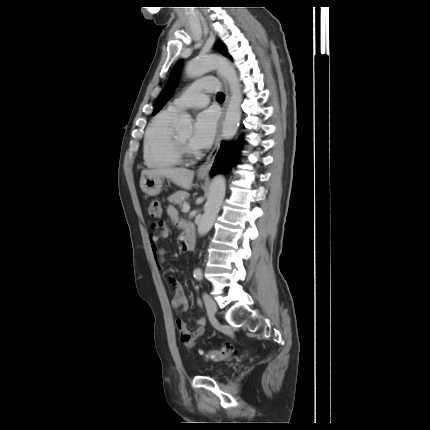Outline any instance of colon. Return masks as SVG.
<instances>
[{
	"mask_svg": "<svg viewBox=\"0 0 430 430\" xmlns=\"http://www.w3.org/2000/svg\"><path fill=\"white\" fill-rule=\"evenodd\" d=\"M149 214L153 218H160L162 215L161 205L158 201H152L149 204ZM201 355L212 361H223L237 354L236 348L231 344H226L220 349H212L208 351H199Z\"/></svg>",
	"mask_w": 430,
	"mask_h": 430,
	"instance_id": "colon-1",
	"label": "colon"
}]
</instances>
